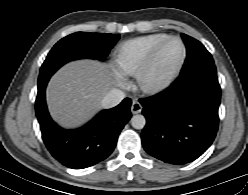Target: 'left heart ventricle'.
Listing matches in <instances>:
<instances>
[{"mask_svg": "<svg viewBox=\"0 0 248 195\" xmlns=\"http://www.w3.org/2000/svg\"><path fill=\"white\" fill-rule=\"evenodd\" d=\"M181 55V44L178 41H171L160 55L154 79L158 80L169 74L177 66Z\"/></svg>", "mask_w": 248, "mask_h": 195, "instance_id": "obj_1", "label": "left heart ventricle"}]
</instances>
